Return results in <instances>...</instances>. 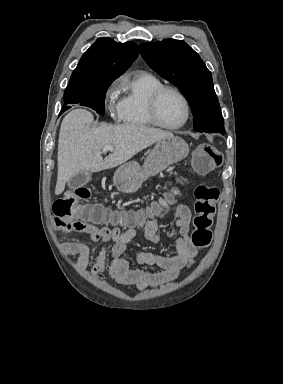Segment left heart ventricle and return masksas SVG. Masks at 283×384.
Wrapping results in <instances>:
<instances>
[{"instance_id":"1","label":"left heart ventricle","mask_w":283,"mask_h":384,"mask_svg":"<svg viewBox=\"0 0 283 384\" xmlns=\"http://www.w3.org/2000/svg\"><path fill=\"white\" fill-rule=\"evenodd\" d=\"M158 118L166 126H176L185 118L182 100L172 92H166L160 98L157 107Z\"/></svg>"}]
</instances>
